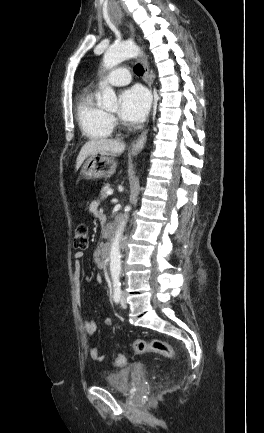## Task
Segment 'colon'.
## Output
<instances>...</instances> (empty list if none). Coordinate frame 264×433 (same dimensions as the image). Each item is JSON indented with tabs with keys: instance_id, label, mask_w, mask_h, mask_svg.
Listing matches in <instances>:
<instances>
[{
	"instance_id": "obj_1",
	"label": "colon",
	"mask_w": 264,
	"mask_h": 433,
	"mask_svg": "<svg viewBox=\"0 0 264 433\" xmlns=\"http://www.w3.org/2000/svg\"><path fill=\"white\" fill-rule=\"evenodd\" d=\"M89 246V230L85 224L77 226L74 234V247L79 250H85ZM133 349L137 354L145 353H156L166 359L172 361L175 358V352L170 344L163 340L152 339L144 340L137 339L133 343ZM116 366H123L126 364V357L123 354H119L113 361Z\"/></svg>"
}]
</instances>
